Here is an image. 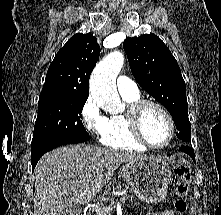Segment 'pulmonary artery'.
Returning <instances> with one entry per match:
<instances>
[{
    "mask_svg": "<svg viewBox=\"0 0 221 215\" xmlns=\"http://www.w3.org/2000/svg\"><path fill=\"white\" fill-rule=\"evenodd\" d=\"M120 94H137L139 93L137 84L127 76H119L116 81Z\"/></svg>",
    "mask_w": 221,
    "mask_h": 215,
    "instance_id": "e3ab8cb5",
    "label": "pulmonary artery"
}]
</instances>
